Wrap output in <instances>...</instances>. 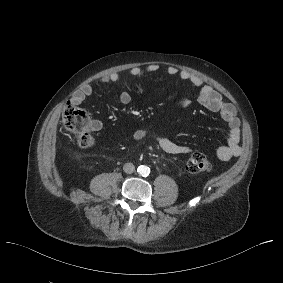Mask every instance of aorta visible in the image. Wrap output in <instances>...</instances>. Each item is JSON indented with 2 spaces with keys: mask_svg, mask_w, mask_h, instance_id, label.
I'll list each match as a JSON object with an SVG mask.
<instances>
[{
  "mask_svg": "<svg viewBox=\"0 0 283 283\" xmlns=\"http://www.w3.org/2000/svg\"><path fill=\"white\" fill-rule=\"evenodd\" d=\"M137 172L141 175V176H148L150 174V168L146 165H140L137 168Z\"/></svg>",
  "mask_w": 283,
  "mask_h": 283,
  "instance_id": "1",
  "label": "aorta"
}]
</instances>
